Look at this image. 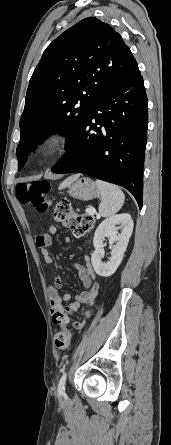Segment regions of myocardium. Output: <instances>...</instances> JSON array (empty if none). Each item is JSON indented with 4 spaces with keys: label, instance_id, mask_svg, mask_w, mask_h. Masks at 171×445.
I'll list each match as a JSON object with an SVG mask.
<instances>
[{
    "label": "myocardium",
    "instance_id": "f54148a6",
    "mask_svg": "<svg viewBox=\"0 0 171 445\" xmlns=\"http://www.w3.org/2000/svg\"><path fill=\"white\" fill-rule=\"evenodd\" d=\"M69 143V136L63 131L51 132L43 138L39 152L46 157L54 156L63 151Z\"/></svg>",
    "mask_w": 171,
    "mask_h": 445
}]
</instances>
